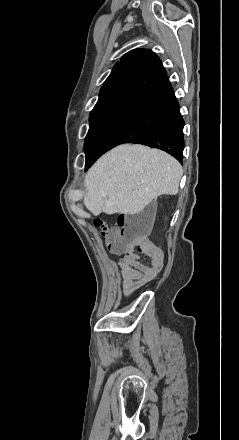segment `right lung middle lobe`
<instances>
[{
	"label": "right lung middle lobe",
	"mask_w": 239,
	"mask_h": 440,
	"mask_svg": "<svg viewBox=\"0 0 239 440\" xmlns=\"http://www.w3.org/2000/svg\"><path fill=\"white\" fill-rule=\"evenodd\" d=\"M131 100L132 99L118 98L94 107L90 113V128L84 143L86 155L93 153L99 140L115 123Z\"/></svg>",
	"instance_id": "dd1d6c3e"
}]
</instances>
